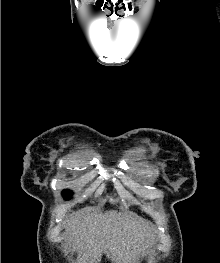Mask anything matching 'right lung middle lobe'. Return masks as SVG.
Returning <instances> with one entry per match:
<instances>
[{
	"instance_id": "dd1d6c3e",
	"label": "right lung middle lobe",
	"mask_w": 220,
	"mask_h": 263,
	"mask_svg": "<svg viewBox=\"0 0 220 263\" xmlns=\"http://www.w3.org/2000/svg\"><path fill=\"white\" fill-rule=\"evenodd\" d=\"M71 195H72V192L70 190L63 191V196L65 199H69Z\"/></svg>"
}]
</instances>
